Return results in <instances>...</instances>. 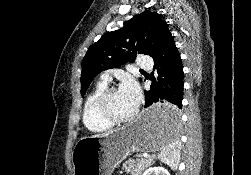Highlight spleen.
Returning <instances> with one entry per match:
<instances>
[{
	"label": "spleen",
	"mask_w": 251,
	"mask_h": 175,
	"mask_svg": "<svg viewBox=\"0 0 251 175\" xmlns=\"http://www.w3.org/2000/svg\"><path fill=\"white\" fill-rule=\"evenodd\" d=\"M162 133H165V137H168L167 143L162 147L160 153H158L159 159L168 163L172 169H178L180 159L181 143H175L179 129V119L177 111H171L168 117H165Z\"/></svg>",
	"instance_id": "spleen-1"
}]
</instances>
